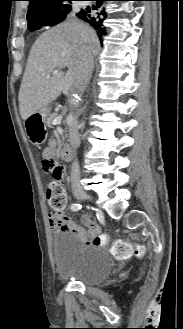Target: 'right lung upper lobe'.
<instances>
[{
    "instance_id": "obj_1",
    "label": "right lung upper lobe",
    "mask_w": 183,
    "mask_h": 329,
    "mask_svg": "<svg viewBox=\"0 0 183 329\" xmlns=\"http://www.w3.org/2000/svg\"><path fill=\"white\" fill-rule=\"evenodd\" d=\"M30 2L27 13L28 24L32 22H45L52 19L57 8L72 0H28Z\"/></svg>"
}]
</instances>
